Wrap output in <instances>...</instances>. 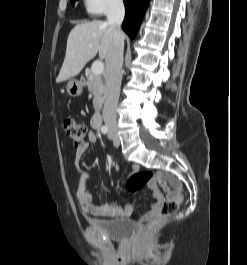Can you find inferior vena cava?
Returning a JSON list of instances; mask_svg holds the SVG:
<instances>
[{
    "mask_svg": "<svg viewBox=\"0 0 247 265\" xmlns=\"http://www.w3.org/2000/svg\"><path fill=\"white\" fill-rule=\"evenodd\" d=\"M125 9L122 0H112L107 11V22L114 28L113 43L106 54L105 77L106 93L103 109L105 125L116 127L120 86L122 80L124 34L121 31V23L124 19Z\"/></svg>",
    "mask_w": 247,
    "mask_h": 265,
    "instance_id": "1",
    "label": "inferior vena cava"
}]
</instances>
